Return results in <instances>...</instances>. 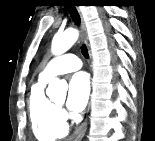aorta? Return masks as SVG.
Wrapping results in <instances>:
<instances>
[{
    "instance_id": "762f6f07",
    "label": "aorta",
    "mask_w": 155,
    "mask_h": 141,
    "mask_svg": "<svg viewBox=\"0 0 155 141\" xmlns=\"http://www.w3.org/2000/svg\"><path fill=\"white\" fill-rule=\"evenodd\" d=\"M78 31L69 28L62 33L54 35L51 45V51L54 55H60L69 50L78 39ZM67 84L57 78L49 82L46 94L52 101H64L66 98Z\"/></svg>"
}]
</instances>
